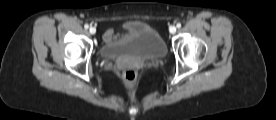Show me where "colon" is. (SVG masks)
I'll list each match as a JSON object with an SVG mask.
<instances>
[{
	"mask_svg": "<svg viewBox=\"0 0 276 120\" xmlns=\"http://www.w3.org/2000/svg\"><path fill=\"white\" fill-rule=\"evenodd\" d=\"M123 80L125 85L134 89L138 84V71L137 68L133 65H125L122 71Z\"/></svg>",
	"mask_w": 276,
	"mask_h": 120,
	"instance_id": "5ec220e1",
	"label": "colon"
}]
</instances>
